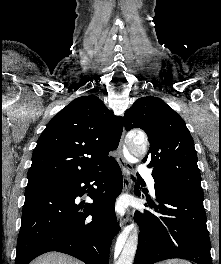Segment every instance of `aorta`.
<instances>
[{
	"label": "aorta",
	"mask_w": 221,
	"mask_h": 264,
	"mask_svg": "<svg viewBox=\"0 0 221 264\" xmlns=\"http://www.w3.org/2000/svg\"><path fill=\"white\" fill-rule=\"evenodd\" d=\"M148 141L145 135H130L127 141L129 152L136 157H144L147 153ZM138 228L130 225L118 237L115 246V264H133L138 245Z\"/></svg>",
	"instance_id": "obj_1"
}]
</instances>
